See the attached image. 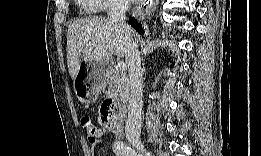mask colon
Returning <instances> with one entry per match:
<instances>
[{"mask_svg": "<svg viewBox=\"0 0 261 156\" xmlns=\"http://www.w3.org/2000/svg\"><path fill=\"white\" fill-rule=\"evenodd\" d=\"M101 120L107 129L114 132L118 131L116 110L111 104L106 102L103 104L101 109ZM80 123L85 132L87 141L90 144H96L101 136V128L89 116H83Z\"/></svg>", "mask_w": 261, "mask_h": 156, "instance_id": "obj_1", "label": "colon"}]
</instances>
